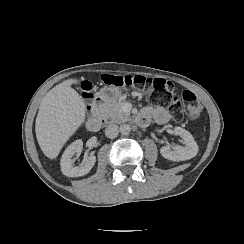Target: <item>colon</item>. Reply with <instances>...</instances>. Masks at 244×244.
<instances>
[{
	"instance_id": "1",
	"label": "colon",
	"mask_w": 244,
	"mask_h": 244,
	"mask_svg": "<svg viewBox=\"0 0 244 244\" xmlns=\"http://www.w3.org/2000/svg\"><path fill=\"white\" fill-rule=\"evenodd\" d=\"M101 80L111 86H128L134 87L139 91L149 92L147 99L150 104L157 107H165L176 117H182L185 114L190 119H196L202 111V103L192 91L185 90L182 93V97L179 98L174 95L173 87L162 78L104 74ZM92 90L93 87L91 85L86 86L83 90L85 100L90 101L92 99Z\"/></svg>"
}]
</instances>
